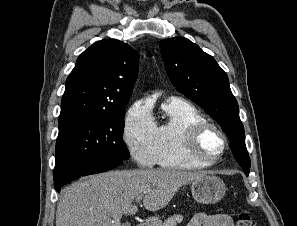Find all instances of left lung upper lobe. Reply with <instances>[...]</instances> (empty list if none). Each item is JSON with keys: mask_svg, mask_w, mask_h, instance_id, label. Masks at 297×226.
Instances as JSON below:
<instances>
[{"mask_svg": "<svg viewBox=\"0 0 297 226\" xmlns=\"http://www.w3.org/2000/svg\"><path fill=\"white\" fill-rule=\"evenodd\" d=\"M160 48L173 85L220 124L230 141L234 157L248 175L251 163L245 145L244 127L227 74L212 56L186 38L163 40Z\"/></svg>", "mask_w": 297, "mask_h": 226, "instance_id": "1", "label": "left lung upper lobe"}]
</instances>
